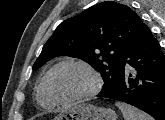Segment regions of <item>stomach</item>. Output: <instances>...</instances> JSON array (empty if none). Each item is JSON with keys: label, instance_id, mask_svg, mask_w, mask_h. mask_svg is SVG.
Masks as SVG:
<instances>
[{"label": "stomach", "instance_id": "stomach-1", "mask_svg": "<svg viewBox=\"0 0 165 120\" xmlns=\"http://www.w3.org/2000/svg\"><path fill=\"white\" fill-rule=\"evenodd\" d=\"M54 120H117V115L109 108L80 103L58 114Z\"/></svg>", "mask_w": 165, "mask_h": 120}]
</instances>
